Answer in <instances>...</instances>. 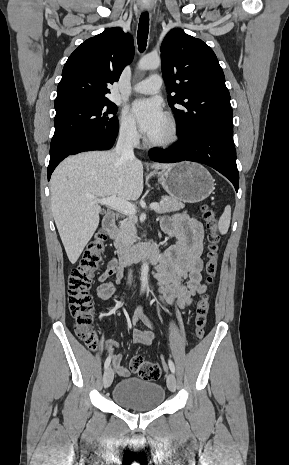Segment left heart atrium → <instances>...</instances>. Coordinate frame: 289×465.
<instances>
[{
  "mask_svg": "<svg viewBox=\"0 0 289 465\" xmlns=\"http://www.w3.org/2000/svg\"><path fill=\"white\" fill-rule=\"evenodd\" d=\"M141 131L148 137L157 134L166 123V115L162 104L157 99H142L132 105Z\"/></svg>",
  "mask_w": 289,
  "mask_h": 465,
  "instance_id": "1",
  "label": "left heart atrium"
}]
</instances>
